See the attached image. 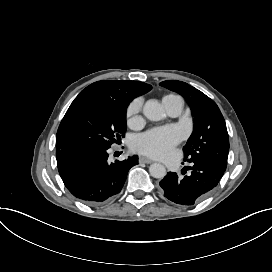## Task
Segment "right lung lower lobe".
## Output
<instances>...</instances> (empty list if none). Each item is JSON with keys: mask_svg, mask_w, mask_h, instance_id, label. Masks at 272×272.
<instances>
[{"mask_svg": "<svg viewBox=\"0 0 272 272\" xmlns=\"http://www.w3.org/2000/svg\"><path fill=\"white\" fill-rule=\"evenodd\" d=\"M59 174L70 193L88 205H101L123 188L138 157L109 164L107 149L72 148L56 153Z\"/></svg>", "mask_w": 272, "mask_h": 272, "instance_id": "right-lung-lower-lobe-1", "label": "right lung lower lobe"}]
</instances>
